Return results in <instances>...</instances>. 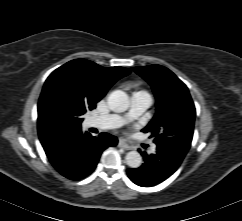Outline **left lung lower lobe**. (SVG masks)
<instances>
[{
  "label": "left lung lower lobe",
  "instance_id": "0a47b994",
  "mask_svg": "<svg viewBox=\"0 0 242 221\" xmlns=\"http://www.w3.org/2000/svg\"><path fill=\"white\" fill-rule=\"evenodd\" d=\"M144 163L136 169H128L130 180L142 187L154 186L170 177L181 165L186 153L181 150L157 145V151L148 155L140 152Z\"/></svg>",
  "mask_w": 242,
  "mask_h": 221
}]
</instances>
